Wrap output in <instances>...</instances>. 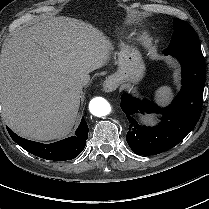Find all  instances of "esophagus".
Masks as SVG:
<instances>
[{"label": "esophagus", "mask_w": 209, "mask_h": 209, "mask_svg": "<svg viewBox=\"0 0 209 209\" xmlns=\"http://www.w3.org/2000/svg\"><path fill=\"white\" fill-rule=\"evenodd\" d=\"M118 87V81L114 76L108 77L104 82H103V90L105 92H112L116 90Z\"/></svg>", "instance_id": "obj_1"}]
</instances>
